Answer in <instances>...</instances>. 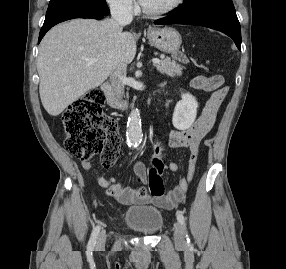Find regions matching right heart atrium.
Instances as JSON below:
<instances>
[{
    "mask_svg": "<svg viewBox=\"0 0 286 269\" xmlns=\"http://www.w3.org/2000/svg\"><path fill=\"white\" fill-rule=\"evenodd\" d=\"M109 7L119 13L132 15L136 12L135 0H105Z\"/></svg>",
    "mask_w": 286,
    "mask_h": 269,
    "instance_id": "1",
    "label": "right heart atrium"
}]
</instances>
